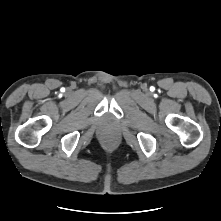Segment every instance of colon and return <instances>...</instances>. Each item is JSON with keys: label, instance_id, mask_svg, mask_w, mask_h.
<instances>
[{"label": "colon", "instance_id": "5ec220e1", "mask_svg": "<svg viewBox=\"0 0 221 221\" xmlns=\"http://www.w3.org/2000/svg\"><path fill=\"white\" fill-rule=\"evenodd\" d=\"M104 145H105L107 148L112 149V148L115 147V142H114V140H112V139H107V140H105Z\"/></svg>", "mask_w": 221, "mask_h": 221}]
</instances>
